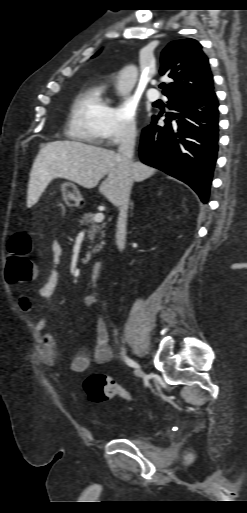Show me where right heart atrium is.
<instances>
[{
	"label": "right heart atrium",
	"instance_id": "right-heart-atrium-1",
	"mask_svg": "<svg viewBox=\"0 0 247 513\" xmlns=\"http://www.w3.org/2000/svg\"><path fill=\"white\" fill-rule=\"evenodd\" d=\"M136 106L128 98H122L110 108L105 122L103 143L107 146L131 141L137 134Z\"/></svg>",
	"mask_w": 247,
	"mask_h": 513
}]
</instances>
